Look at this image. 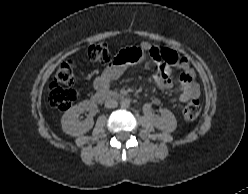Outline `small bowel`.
Here are the masks:
<instances>
[{
  "mask_svg": "<svg viewBox=\"0 0 248 194\" xmlns=\"http://www.w3.org/2000/svg\"><path fill=\"white\" fill-rule=\"evenodd\" d=\"M158 48L150 43L143 42L139 45L140 50L151 53V50ZM128 51L120 52L114 61L94 80V87L97 91H107L123 72L126 61L124 57ZM173 63L165 62L159 65V72L153 76L157 86L162 90H169L173 86L170 78V66L173 64L181 69L179 76V94L173 101L188 102L199 97V88L195 82V75L187 60L173 52ZM141 60V54L135 61ZM153 105H158L157 100H153Z\"/></svg>",
  "mask_w": 248,
  "mask_h": 194,
  "instance_id": "obj_1",
  "label": "small bowel"
}]
</instances>
